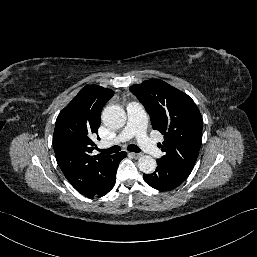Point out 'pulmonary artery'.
Here are the masks:
<instances>
[{"label":"pulmonary artery","mask_w":257,"mask_h":257,"mask_svg":"<svg viewBox=\"0 0 257 257\" xmlns=\"http://www.w3.org/2000/svg\"><path fill=\"white\" fill-rule=\"evenodd\" d=\"M128 121L124 129L115 139V143L124 142L132 137L137 139L141 148L153 157H160L161 151L155 142L147 135V117L143 106L137 102L132 101L127 104ZM111 143L103 142V147H108Z\"/></svg>","instance_id":"1"}]
</instances>
